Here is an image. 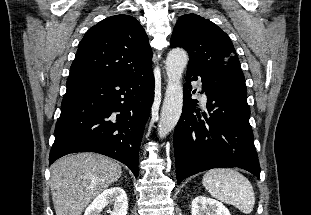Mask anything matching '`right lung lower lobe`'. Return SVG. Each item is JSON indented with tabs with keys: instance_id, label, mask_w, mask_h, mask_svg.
<instances>
[{
	"instance_id": "1",
	"label": "right lung lower lobe",
	"mask_w": 311,
	"mask_h": 215,
	"mask_svg": "<svg viewBox=\"0 0 311 215\" xmlns=\"http://www.w3.org/2000/svg\"><path fill=\"white\" fill-rule=\"evenodd\" d=\"M49 164L74 152H96L138 176L139 147L154 98L152 69L128 77L69 78Z\"/></svg>"
}]
</instances>
